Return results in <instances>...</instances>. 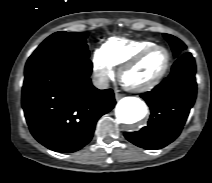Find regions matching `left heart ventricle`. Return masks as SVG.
<instances>
[{"label":"left heart ventricle","mask_w":212,"mask_h":183,"mask_svg":"<svg viewBox=\"0 0 212 183\" xmlns=\"http://www.w3.org/2000/svg\"><path fill=\"white\" fill-rule=\"evenodd\" d=\"M167 54L156 49L144 57L135 67L126 72L124 82L132 86L143 85L154 79L164 68Z\"/></svg>","instance_id":"obj_1"}]
</instances>
